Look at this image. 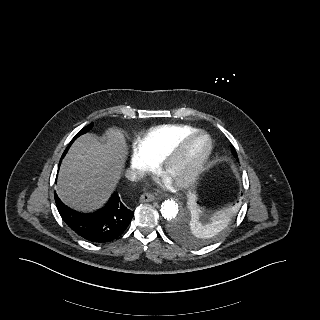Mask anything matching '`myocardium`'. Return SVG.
<instances>
[{"instance_id":"myocardium-1","label":"myocardium","mask_w":320,"mask_h":320,"mask_svg":"<svg viewBox=\"0 0 320 320\" xmlns=\"http://www.w3.org/2000/svg\"><path fill=\"white\" fill-rule=\"evenodd\" d=\"M201 140L203 147L198 156L190 163L187 172L175 181L178 187H186L194 183L203 172L212 153V140L207 133L201 130H195L183 138L176 146L160 161V171L168 176L172 168L181 162L189 147L196 141Z\"/></svg>"}]
</instances>
